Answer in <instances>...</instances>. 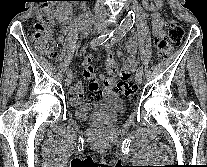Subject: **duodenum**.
Listing matches in <instances>:
<instances>
[{
	"label": "duodenum",
	"mask_w": 207,
	"mask_h": 167,
	"mask_svg": "<svg viewBox=\"0 0 207 167\" xmlns=\"http://www.w3.org/2000/svg\"><path fill=\"white\" fill-rule=\"evenodd\" d=\"M87 18H88V20H90V19H91L89 14H87Z\"/></svg>",
	"instance_id": "duodenum-1"
}]
</instances>
